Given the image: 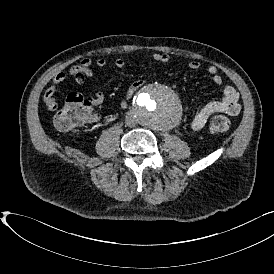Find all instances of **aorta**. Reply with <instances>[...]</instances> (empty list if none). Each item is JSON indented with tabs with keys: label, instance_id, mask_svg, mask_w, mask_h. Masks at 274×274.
<instances>
[{
	"label": "aorta",
	"instance_id": "obj_1",
	"mask_svg": "<svg viewBox=\"0 0 274 274\" xmlns=\"http://www.w3.org/2000/svg\"><path fill=\"white\" fill-rule=\"evenodd\" d=\"M136 113L139 122L148 128L168 129L181 116V103L177 94L168 86L147 85L136 99Z\"/></svg>",
	"mask_w": 274,
	"mask_h": 274
}]
</instances>
